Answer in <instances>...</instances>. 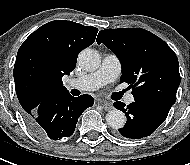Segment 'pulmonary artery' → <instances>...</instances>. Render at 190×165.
I'll use <instances>...</instances> for the list:
<instances>
[{
    "mask_svg": "<svg viewBox=\"0 0 190 165\" xmlns=\"http://www.w3.org/2000/svg\"><path fill=\"white\" fill-rule=\"evenodd\" d=\"M122 69L120 59L114 54H108L102 60L100 67L89 74L69 80L68 85L83 91L96 90L117 79ZM127 104L134 102V96L129 94L125 98Z\"/></svg>",
    "mask_w": 190,
    "mask_h": 165,
    "instance_id": "pulmonary-artery-1",
    "label": "pulmonary artery"
}]
</instances>
